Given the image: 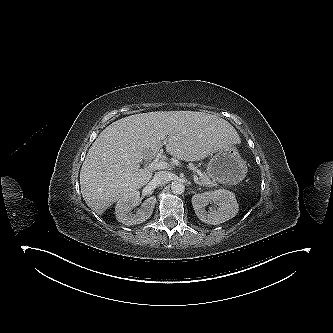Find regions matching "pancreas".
<instances>
[{"label":"pancreas","mask_w":333,"mask_h":333,"mask_svg":"<svg viewBox=\"0 0 333 333\" xmlns=\"http://www.w3.org/2000/svg\"><path fill=\"white\" fill-rule=\"evenodd\" d=\"M199 184L205 187H213L216 186L217 183L214 180H211L206 173H200Z\"/></svg>","instance_id":"pancreas-1"}]
</instances>
